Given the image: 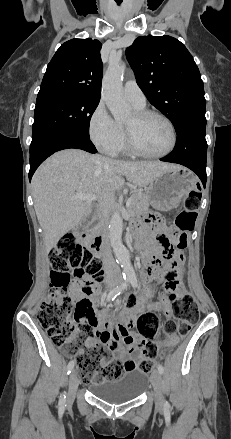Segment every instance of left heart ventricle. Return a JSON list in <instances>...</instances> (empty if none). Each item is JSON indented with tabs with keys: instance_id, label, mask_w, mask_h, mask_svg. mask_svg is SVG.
<instances>
[{
	"instance_id": "b2bd125f",
	"label": "left heart ventricle",
	"mask_w": 231,
	"mask_h": 439,
	"mask_svg": "<svg viewBox=\"0 0 231 439\" xmlns=\"http://www.w3.org/2000/svg\"><path fill=\"white\" fill-rule=\"evenodd\" d=\"M125 126L131 129L137 146L146 153H161L171 144L170 129L158 117L150 116L138 120L134 113Z\"/></svg>"
}]
</instances>
